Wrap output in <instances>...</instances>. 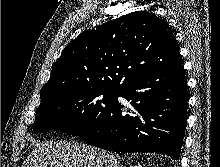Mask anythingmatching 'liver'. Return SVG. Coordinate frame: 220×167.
I'll use <instances>...</instances> for the list:
<instances>
[{"instance_id":"1","label":"liver","mask_w":220,"mask_h":167,"mask_svg":"<svg viewBox=\"0 0 220 167\" xmlns=\"http://www.w3.org/2000/svg\"><path fill=\"white\" fill-rule=\"evenodd\" d=\"M22 167H119L117 155L86 144L41 142Z\"/></svg>"}]
</instances>
